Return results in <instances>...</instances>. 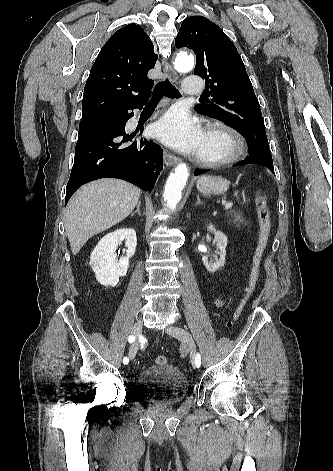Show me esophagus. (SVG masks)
I'll use <instances>...</instances> for the list:
<instances>
[{
    "instance_id": "34e87169",
    "label": "esophagus",
    "mask_w": 333,
    "mask_h": 471,
    "mask_svg": "<svg viewBox=\"0 0 333 471\" xmlns=\"http://www.w3.org/2000/svg\"><path fill=\"white\" fill-rule=\"evenodd\" d=\"M163 71H164V74L166 75V77H168L171 81L175 82L178 79L177 72L173 69V67L170 64L165 63V67H164ZM164 161H165V164L167 166H172V165H175V164L179 163L180 158L173 155V154H171L168 151H165L164 152Z\"/></svg>"
}]
</instances>
